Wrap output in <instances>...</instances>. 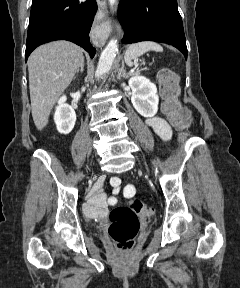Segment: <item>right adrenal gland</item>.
Returning a JSON list of instances; mask_svg holds the SVG:
<instances>
[{"label":"right adrenal gland","mask_w":240,"mask_h":288,"mask_svg":"<svg viewBox=\"0 0 240 288\" xmlns=\"http://www.w3.org/2000/svg\"><path fill=\"white\" fill-rule=\"evenodd\" d=\"M84 71V61L82 62L81 66H80V70L77 71V74L80 72V73H83ZM76 77H74V80H75Z\"/></svg>","instance_id":"1"}]
</instances>
